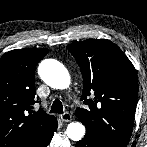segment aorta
I'll use <instances>...</instances> for the list:
<instances>
[{
	"instance_id": "obj_1",
	"label": "aorta",
	"mask_w": 147,
	"mask_h": 147,
	"mask_svg": "<svg viewBox=\"0 0 147 147\" xmlns=\"http://www.w3.org/2000/svg\"><path fill=\"white\" fill-rule=\"evenodd\" d=\"M38 73L41 79L54 89H66L70 85L67 69L58 61L47 59L40 63ZM67 136L73 141L81 140L85 135V126L79 122H71L66 129Z\"/></svg>"
}]
</instances>
